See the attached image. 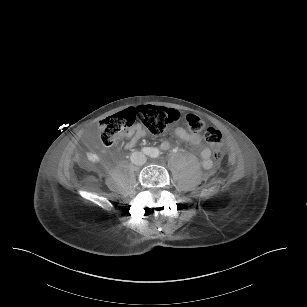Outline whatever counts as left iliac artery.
Listing matches in <instances>:
<instances>
[{"mask_svg":"<svg viewBox=\"0 0 307 307\" xmlns=\"http://www.w3.org/2000/svg\"><path fill=\"white\" fill-rule=\"evenodd\" d=\"M160 155V152L158 149L156 148H153L152 151H151V154L149 155L151 158H158Z\"/></svg>","mask_w":307,"mask_h":307,"instance_id":"1","label":"left iliac artery"}]
</instances>
